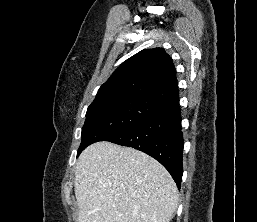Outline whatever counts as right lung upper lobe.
<instances>
[{"label": "right lung upper lobe", "mask_w": 257, "mask_h": 222, "mask_svg": "<svg viewBox=\"0 0 257 222\" xmlns=\"http://www.w3.org/2000/svg\"><path fill=\"white\" fill-rule=\"evenodd\" d=\"M143 98L161 107L178 100L176 70L162 48L145 49L122 63L100 87L95 100Z\"/></svg>", "instance_id": "right-lung-upper-lobe-1"}]
</instances>
